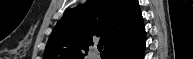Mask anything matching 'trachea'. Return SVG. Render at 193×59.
<instances>
[{
	"mask_svg": "<svg viewBox=\"0 0 193 59\" xmlns=\"http://www.w3.org/2000/svg\"><path fill=\"white\" fill-rule=\"evenodd\" d=\"M98 50L102 51L103 50V46L102 45H98Z\"/></svg>",
	"mask_w": 193,
	"mask_h": 59,
	"instance_id": "1",
	"label": "trachea"
}]
</instances>
